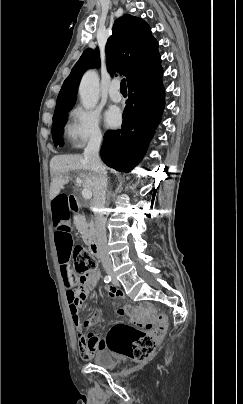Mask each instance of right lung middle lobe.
<instances>
[{"instance_id":"obj_1","label":"right lung middle lobe","mask_w":243,"mask_h":404,"mask_svg":"<svg viewBox=\"0 0 243 404\" xmlns=\"http://www.w3.org/2000/svg\"><path fill=\"white\" fill-rule=\"evenodd\" d=\"M72 109V107L59 110L53 115V124H52V137L54 140L55 146L62 145V134L63 128L67 119V113Z\"/></svg>"}]
</instances>
